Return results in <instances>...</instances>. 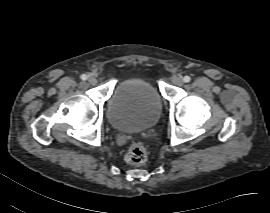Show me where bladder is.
Here are the masks:
<instances>
[{"instance_id":"1","label":"bladder","mask_w":270,"mask_h":213,"mask_svg":"<svg viewBox=\"0 0 270 213\" xmlns=\"http://www.w3.org/2000/svg\"><path fill=\"white\" fill-rule=\"evenodd\" d=\"M162 98L156 87L142 76L119 81L105 106L109 124L120 132H137L153 127L162 112Z\"/></svg>"}]
</instances>
